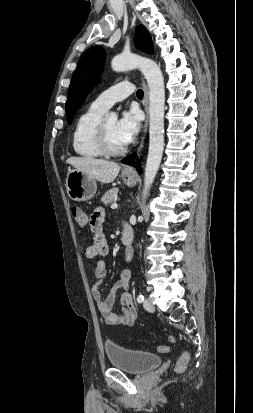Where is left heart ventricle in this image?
Returning a JSON list of instances; mask_svg holds the SVG:
<instances>
[{
	"label": "left heart ventricle",
	"mask_w": 253,
	"mask_h": 413,
	"mask_svg": "<svg viewBox=\"0 0 253 413\" xmlns=\"http://www.w3.org/2000/svg\"><path fill=\"white\" fill-rule=\"evenodd\" d=\"M116 123L117 121L115 119H105L104 121V127L107 135V139L109 141V144L113 148H120L123 145V143L119 140L117 134H116Z\"/></svg>",
	"instance_id": "b2bd125f"
}]
</instances>
